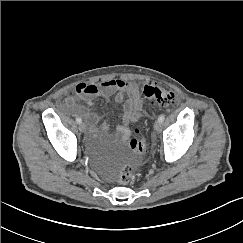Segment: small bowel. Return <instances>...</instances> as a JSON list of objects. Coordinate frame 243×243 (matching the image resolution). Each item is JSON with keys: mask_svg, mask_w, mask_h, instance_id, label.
Listing matches in <instances>:
<instances>
[{"mask_svg": "<svg viewBox=\"0 0 243 243\" xmlns=\"http://www.w3.org/2000/svg\"><path fill=\"white\" fill-rule=\"evenodd\" d=\"M112 96L116 105H123L120 115L121 124L115 127V131L123 140H127L130 135L127 125L137 121L143 114L139 87L136 83L124 79H106L100 84L79 83L75 87V93L62 100L61 107L71 109L85 117L94 130L99 121L98 115L90 112L79 102L91 106L96 97L109 99ZM105 128L109 126L106 125Z\"/></svg>", "mask_w": 243, "mask_h": 243, "instance_id": "small-bowel-1", "label": "small bowel"}]
</instances>
